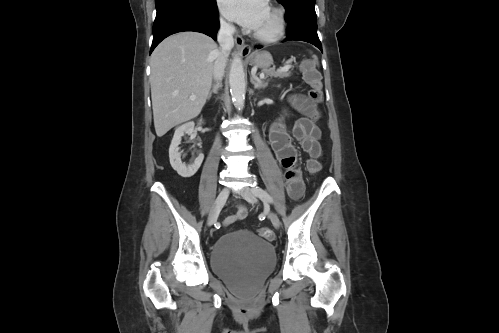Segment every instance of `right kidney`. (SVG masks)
Here are the masks:
<instances>
[{
	"label": "right kidney",
	"mask_w": 499,
	"mask_h": 333,
	"mask_svg": "<svg viewBox=\"0 0 499 333\" xmlns=\"http://www.w3.org/2000/svg\"><path fill=\"white\" fill-rule=\"evenodd\" d=\"M201 122L202 121L200 120L199 124H201ZM194 126V122H188L177 127L169 148L170 164L172 168L184 178L193 176L200 168L204 159V155L200 153L191 165H186L181 161V153L179 152L178 147L181 143V137L184 136V134H192L194 131Z\"/></svg>",
	"instance_id": "ca27d5eb"
}]
</instances>
